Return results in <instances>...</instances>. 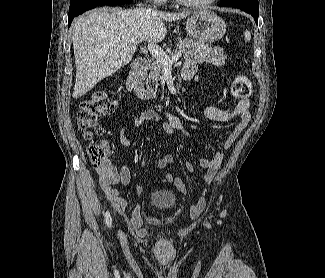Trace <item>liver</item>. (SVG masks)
<instances>
[{
  "label": "liver",
  "mask_w": 325,
  "mask_h": 278,
  "mask_svg": "<svg viewBox=\"0 0 325 278\" xmlns=\"http://www.w3.org/2000/svg\"><path fill=\"white\" fill-rule=\"evenodd\" d=\"M190 14L136 7L102 8L81 16L72 31L76 65L73 98L85 95L98 82L127 65L139 43L162 41L167 34L163 21H178Z\"/></svg>",
  "instance_id": "liver-1"
}]
</instances>
